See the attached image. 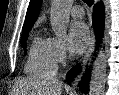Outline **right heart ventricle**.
<instances>
[{
  "mask_svg": "<svg viewBox=\"0 0 119 95\" xmlns=\"http://www.w3.org/2000/svg\"><path fill=\"white\" fill-rule=\"evenodd\" d=\"M56 66L51 39L35 37L25 63V72L31 76L50 77L55 74Z\"/></svg>",
  "mask_w": 119,
  "mask_h": 95,
  "instance_id": "obj_1",
  "label": "right heart ventricle"
}]
</instances>
